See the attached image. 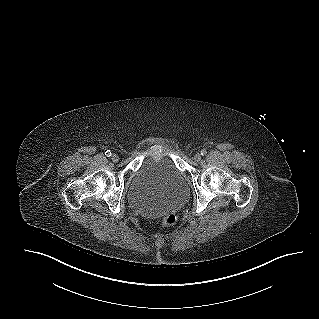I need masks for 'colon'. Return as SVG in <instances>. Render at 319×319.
Returning <instances> with one entry per match:
<instances>
[{"mask_svg":"<svg viewBox=\"0 0 319 319\" xmlns=\"http://www.w3.org/2000/svg\"><path fill=\"white\" fill-rule=\"evenodd\" d=\"M177 221V216L174 213H169L166 214L165 216L162 217V226L167 228L175 225Z\"/></svg>","mask_w":319,"mask_h":319,"instance_id":"1","label":"colon"}]
</instances>
